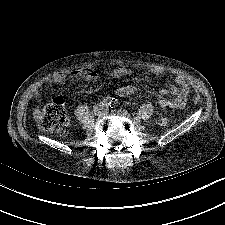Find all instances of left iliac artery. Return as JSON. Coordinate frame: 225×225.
I'll return each mask as SVG.
<instances>
[{"instance_id": "1", "label": "left iliac artery", "mask_w": 225, "mask_h": 225, "mask_svg": "<svg viewBox=\"0 0 225 225\" xmlns=\"http://www.w3.org/2000/svg\"><path fill=\"white\" fill-rule=\"evenodd\" d=\"M119 105V101H118V99H113V102H112V106L113 107H116V106H118Z\"/></svg>"}]
</instances>
